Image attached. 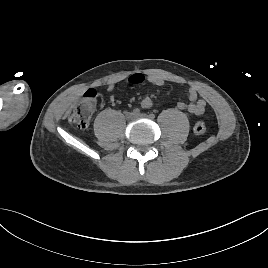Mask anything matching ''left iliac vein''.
I'll list each match as a JSON object with an SVG mask.
<instances>
[{
	"label": "left iliac vein",
	"mask_w": 268,
	"mask_h": 268,
	"mask_svg": "<svg viewBox=\"0 0 268 268\" xmlns=\"http://www.w3.org/2000/svg\"><path fill=\"white\" fill-rule=\"evenodd\" d=\"M136 117H141V118H149V116H148V115H146V114H139V115H137Z\"/></svg>",
	"instance_id": "obj_1"
}]
</instances>
